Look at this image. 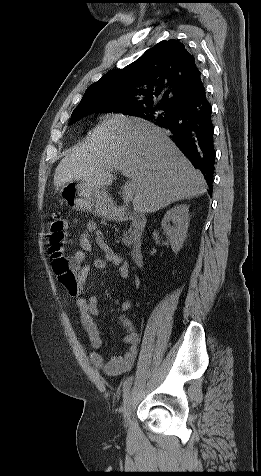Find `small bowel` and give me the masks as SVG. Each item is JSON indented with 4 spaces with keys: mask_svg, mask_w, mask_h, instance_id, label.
<instances>
[{
    "mask_svg": "<svg viewBox=\"0 0 261 476\" xmlns=\"http://www.w3.org/2000/svg\"><path fill=\"white\" fill-rule=\"evenodd\" d=\"M91 236L94 237V241L103 252V255L89 263L87 262V255L93 249ZM79 245L80 249L72 257V263L78 274V286L75 291H67L76 299L81 324L89 337L93 349L90 353L92 365L109 376H117L133 368L138 355L139 333L131 320L122 315L120 317V324L124 330L123 341L127 345V349L121 356L105 359L99 352L104 345V341L95 323V318L99 315L98 300L93 296L89 298L85 296V283L92 267L103 270L108 266H114L118 269L120 278L126 280L130 277V265L107 244L101 230L94 221L86 223V229L79 237ZM131 307V299L126 298L121 302L120 310L122 313H125Z\"/></svg>",
    "mask_w": 261,
    "mask_h": 476,
    "instance_id": "small-bowel-1",
    "label": "small bowel"
}]
</instances>
